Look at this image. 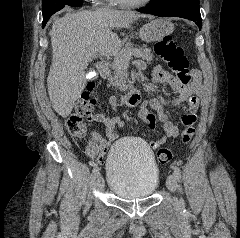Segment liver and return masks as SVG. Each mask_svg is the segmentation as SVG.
Segmentation results:
<instances>
[{"mask_svg":"<svg viewBox=\"0 0 240 238\" xmlns=\"http://www.w3.org/2000/svg\"><path fill=\"white\" fill-rule=\"evenodd\" d=\"M140 17L153 19L151 15L106 8L53 17L49 33L53 59L47 86L52 107L60 116L71 114L84 89L85 69L91 61L89 50L117 53L121 41L112 29L129 28Z\"/></svg>","mask_w":240,"mask_h":238,"instance_id":"obj_1","label":"liver"}]
</instances>
